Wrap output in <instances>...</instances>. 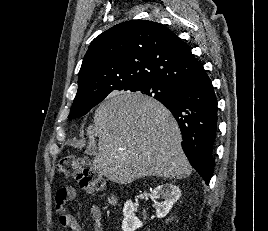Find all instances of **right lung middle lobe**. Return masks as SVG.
I'll return each instance as SVG.
<instances>
[{
	"label": "right lung middle lobe",
	"mask_w": 268,
	"mask_h": 231,
	"mask_svg": "<svg viewBox=\"0 0 268 231\" xmlns=\"http://www.w3.org/2000/svg\"><path fill=\"white\" fill-rule=\"evenodd\" d=\"M127 90L132 91V92L146 94V95L154 97L155 99H164L172 95V88L165 86L163 84H160V83H146V84L128 88L125 91ZM101 101L88 104V105L73 104L70 114L68 116V119L72 120V119L84 116L90 111V109H92Z\"/></svg>",
	"instance_id": "right-lung-middle-lobe-1"
}]
</instances>
